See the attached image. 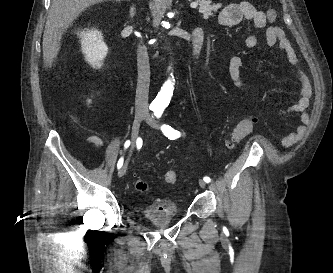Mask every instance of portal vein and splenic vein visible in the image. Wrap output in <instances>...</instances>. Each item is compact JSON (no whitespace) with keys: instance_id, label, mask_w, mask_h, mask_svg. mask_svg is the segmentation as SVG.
<instances>
[{"instance_id":"portal-vein-and-splenic-vein-1","label":"portal vein and splenic vein","mask_w":333,"mask_h":273,"mask_svg":"<svg viewBox=\"0 0 333 273\" xmlns=\"http://www.w3.org/2000/svg\"><path fill=\"white\" fill-rule=\"evenodd\" d=\"M198 6V3L194 2V3H191V7L192 8H196Z\"/></svg>"}]
</instances>
